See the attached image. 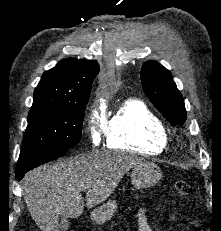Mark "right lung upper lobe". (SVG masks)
<instances>
[{"label":"right lung upper lobe","instance_id":"right-lung-upper-lobe-1","mask_svg":"<svg viewBox=\"0 0 221 231\" xmlns=\"http://www.w3.org/2000/svg\"><path fill=\"white\" fill-rule=\"evenodd\" d=\"M99 72L96 61L67 59L46 71L34 91L33 107L89 100Z\"/></svg>","mask_w":221,"mask_h":231}]
</instances>
